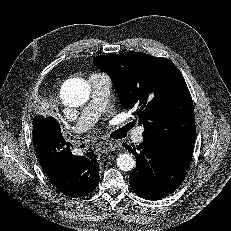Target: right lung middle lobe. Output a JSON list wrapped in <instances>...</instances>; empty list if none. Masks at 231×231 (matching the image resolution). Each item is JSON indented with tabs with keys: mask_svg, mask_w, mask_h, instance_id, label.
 <instances>
[{
	"mask_svg": "<svg viewBox=\"0 0 231 231\" xmlns=\"http://www.w3.org/2000/svg\"><path fill=\"white\" fill-rule=\"evenodd\" d=\"M42 119H43V117L36 116V117L33 119V124H36V123L40 122Z\"/></svg>",
	"mask_w": 231,
	"mask_h": 231,
	"instance_id": "dd1d6c3e",
	"label": "right lung middle lobe"
}]
</instances>
